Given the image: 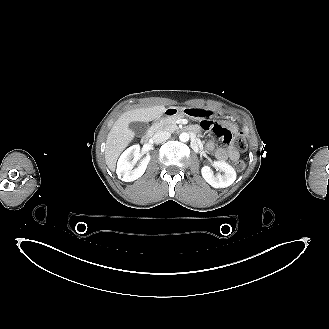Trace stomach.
<instances>
[{
	"label": "stomach",
	"mask_w": 329,
	"mask_h": 329,
	"mask_svg": "<svg viewBox=\"0 0 329 329\" xmlns=\"http://www.w3.org/2000/svg\"><path fill=\"white\" fill-rule=\"evenodd\" d=\"M167 110L170 111V113L168 114L169 116L185 115L195 120L199 117L213 118L216 116V113L211 110L204 108H197V107H182V108L170 107Z\"/></svg>",
	"instance_id": "0dacf381"
}]
</instances>
